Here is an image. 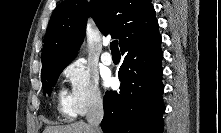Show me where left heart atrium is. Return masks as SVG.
Instances as JSON below:
<instances>
[{
  "label": "left heart atrium",
  "mask_w": 221,
  "mask_h": 133,
  "mask_svg": "<svg viewBox=\"0 0 221 133\" xmlns=\"http://www.w3.org/2000/svg\"><path fill=\"white\" fill-rule=\"evenodd\" d=\"M111 82H112V81H111V79H110V78H107V79H106V84H107V85H110V84H111Z\"/></svg>",
  "instance_id": "1"
}]
</instances>
